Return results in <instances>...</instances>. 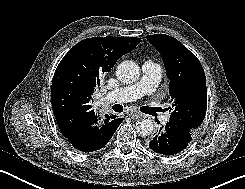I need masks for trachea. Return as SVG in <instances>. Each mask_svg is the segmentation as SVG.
<instances>
[{"mask_svg": "<svg viewBox=\"0 0 245 189\" xmlns=\"http://www.w3.org/2000/svg\"><path fill=\"white\" fill-rule=\"evenodd\" d=\"M113 110L116 112H122L123 111V106L120 104H115L113 107ZM147 107H142L141 110L144 111Z\"/></svg>", "mask_w": 245, "mask_h": 189, "instance_id": "trachea-1", "label": "trachea"}]
</instances>
